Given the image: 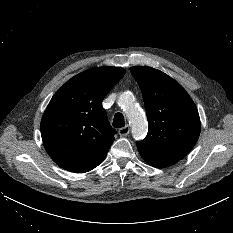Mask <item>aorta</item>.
Returning a JSON list of instances; mask_svg holds the SVG:
<instances>
[{"instance_id":"1","label":"aorta","mask_w":233,"mask_h":233,"mask_svg":"<svg viewBox=\"0 0 233 233\" xmlns=\"http://www.w3.org/2000/svg\"><path fill=\"white\" fill-rule=\"evenodd\" d=\"M120 105L125 109L130 121L132 135L135 139H142L147 133V123L142 111L135 105L132 93L124 92L119 97Z\"/></svg>"}]
</instances>
